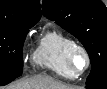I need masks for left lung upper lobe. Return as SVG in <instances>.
I'll use <instances>...</instances> for the list:
<instances>
[{
  "mask_svg": "<svg viewBox=\"0 0 107 89\" xmlns=\"http://www.w3.org/2000/svg\"><path fill=\"white\" fill-rule=\"evenodd\" d=\"M43 14L76 36L91 59L86 85L107 77V8L101 0H45Z\"/></svg>",
  "mask_w": 107,
  "mask_h": 89,
  "instance_id": "left-lung-upper-lobe-1",
  "label": "left lung upper lobe"
}]
</instances>
